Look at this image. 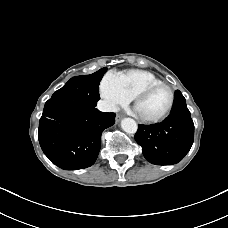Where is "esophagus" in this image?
Wrapping results in <instances>:
<instances>
[{"instance_id": "obj_1", "label": "esophagus", "mask_w": 228, "mask_h": 228, "mask_svg": "<svg viewBox=\"0 0 228 228\" xmlns=\"http://www.w3.org/2000/svg\"><path fill=\"white\" fill-rule=\"evenodd\" d=\"M121 119H122V116H120V115H117V116H116V122H117V123H118Z\"/></svg>"}]
</instances>
